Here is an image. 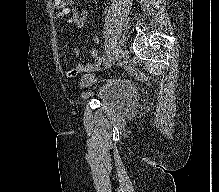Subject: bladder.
I'll use <instances>...</instances> for the list:
<instances>
[{
    "label": "bladder",
    "instance_id": "bladder-1",
    "mask_svg": "<svg viewBox=\"0 0 219 192\" xmlns=\"http://www.w3.org/2000/svg\"><path fill=\"white\" fill-rule=\"evenodd\" d=\"M82 87L79 95L82 99L94 98L101 105L119 114H130L137 110L139 97L132 82L112 76L99 78L93 71H87L79 78Z\"/></svg>",
    "mask_w": 219,
    "mask_h": 192
}]
</instances>
